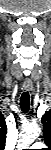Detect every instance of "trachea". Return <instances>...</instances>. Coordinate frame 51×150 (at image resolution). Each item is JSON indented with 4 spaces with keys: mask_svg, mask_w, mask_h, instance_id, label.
Returning a JSON list of instances; mask_svg holds the SVG:
<instances>
[{
    "mask_svg": "<svg viewBox=\"0 0 51 150\" xmlns=\"http://www.w3.org/2000/svg\"><path fill=\"white\" fill-rule=\"evenodd\" d=\"M20 107L23 113H27L30 108V96L28 91L23 92L20 98Z\"/></svg>",
    "mask_w": 51,
    "mask_h": 150,
    "instance_id": "trachea-1",
    "label": "trachea"
}]
</instances>
